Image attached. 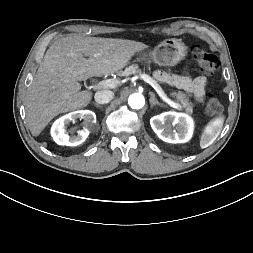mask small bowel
Listing matches in <instances>:
<instances>
[{
	"label": "small bowel",
	"mask_w": 253,
	"mask_h": 253,
	"mask_svg": "<svg viewBox=\"0 0 253 253\" xmlns=\"http://www.w3.org/2000/svg\"><path fill=\"white\" fill-rule=\"evenodd\" d=\"M156 77L160 80L169 81L176 87L191 93L197 100L205 94L206 79L202 76L191 78L186 75L168 76L165 73L157 72Z\"/></svg>",
	"instance_id": "1"
}]
</instances>
